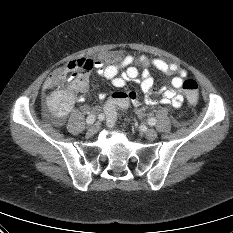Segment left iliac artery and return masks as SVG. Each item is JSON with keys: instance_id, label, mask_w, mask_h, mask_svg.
Masks as SVG:
<instances>
[{"instance_id": "1", "label": "left iliac artery", "mask_w": 233, "mask_h": 233, "mask_svg": "<svg viewBox=\"0 0 233 233\" xmlns=\"http://www.w3.org/2000/svg\"><path fill=\"white\" fill-rule=\"evenodd\" d=\"M148 124L151 125V126L155 125L156 124V119L155 118H150L148 120Z\"/></svg>"}]
</instances>
